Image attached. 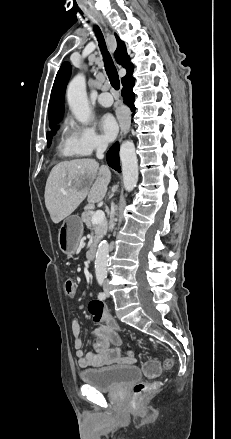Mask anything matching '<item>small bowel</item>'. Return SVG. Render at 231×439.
Returning a JSON list of instances; mask_svg holds the SVG:
<instances>
[{
    "label": "small bowel",
    "instance_id": "obj_1",
    "mask_svg": "<svg viewBox=\"0 0 231 439\" xmlns=\"http://www.w3.org/2000/svg\"><path fill=\"white\" fill-rule=\"evenodd\" d=\"M99 322H103V324L95 329L96 341L93 349L85 353L82 349L83 343L79 321L76 317L71 320V333L78 365L81 368H88L113 364H134L136 360L131 350H127L125 354L122 353V340L114 319L107 314L106 318Z\"/></svg>",
    "mask_w": 231,
    "mask_h": 439
}]
</instances>
